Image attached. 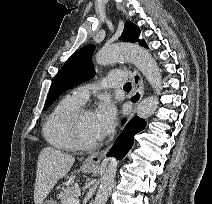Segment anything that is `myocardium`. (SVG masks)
<instances>
[{
    "mask_svg": "<svg viewBox=\"0 0 212 204\" xmlns=\"http://www.w3.org/2000/svg\"><path fill=\"white\" fill-rule=\"evenodd\" d=\"M91 112H93L91 108L80 107L79 109L74 111L67 120L66 128L68 136L75 149L82 151H91L96 149L100 144V140L92 143L85 142L80 134V121L84 115Z\"/></svg>",
    "mask_w": 212,
    "mask_h": 204,
    "instance_id": "1",
    "label": "myocardium"
}]
</instances>
